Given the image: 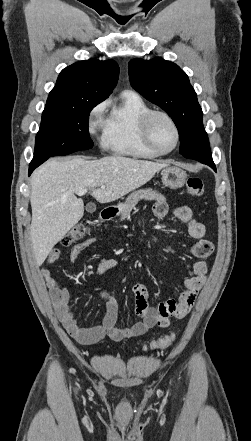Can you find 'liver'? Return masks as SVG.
Returning <instances> with one entry per match:
<instances>
[{"instance_id":"liver-1","label":"liver","mask_w":251,"mask_h":441,"mask_svg":"<svg viewBox=\"0 0 251 441\" xmlns=\"http://www.w3.org/2000/svg\"><path fill=\"white\" fill-rule=\"evenodd\" d=\"M169 162H153L123 156L99 160L72 157L50 159L31 177L30 236L38 266L52 248L84 214V203L75 193L89 189L100 203L115 201L147 183ZM102 185L105 189H101Z\"/></svg>"}]
</instances>
